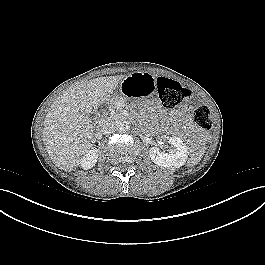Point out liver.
<instances>
[{
	"mask_svg": "<svg viewBox=\"0 0 265 265\" xmlns=\"http://www.w3.org/2000/svg\"><path fill=\"white\" fill-rule=\"evenodd\" d=\"M123 75L104 76L70 86L46 114L43 142L53 163L71 171L92 148L94 127L89 114L109 101Z\"/></svg>",
	"mask_w": 265,
	"mask_h": 265,
	"instance_id": "liver-1",
	"label": "liver"
}]
</instances>
